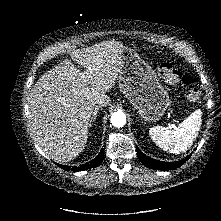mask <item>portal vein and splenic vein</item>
Returning a JSON list of instances; mask_svg holds the SVG:
<instances>
[{
	"label": "portal vein and splenic vein",
	"instance_id": "1",
	"mask_svg": "<svg viewBox=\"0 0 221 221\" xmlns=\"http://www.w3.org/2000/svg\"><path fill=\"white\" fill-rule=\"evenodd\" d=\"M169 127H170V128H173V127H174V125H170Z\"/></svg>",
	"mask_w": 221,
	"mask_h": 221
}]
</instances>
